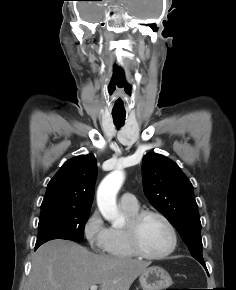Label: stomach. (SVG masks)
I'll return each mask as SVG.
<instances>
[{"mask_svg": "<svg viewBox=\"0 0 236 290\" xmlns=\"http://www.w3.org/2000/svg\"><path fill=\"white\" fill-rule=\"evenodd\" d=\"M139 282L143 290H165L172 285L169 273L158 266L149 267L142 272Z\"/></svg>", "mask_w": 236, "mask_h": 290, "instance_id": "0dacf381", "label": "stomach"}]
</instances>
